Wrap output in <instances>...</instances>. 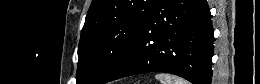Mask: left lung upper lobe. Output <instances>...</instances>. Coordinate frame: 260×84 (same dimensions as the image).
Listing matches in <instances>:
<instances>
[{"mask_svg": "<svg viewBox=\"0 0 260 84\" xmlns=\"http://www.w3.org/2000/svg\"><path fill=\"white\" fill-rule=\"evenodd\" d=\"M156 0H93L81 31L77 84H103L119 65Z\"/></svg>", "mask_w": 260, "mask_h": 84, "instance_id": "5c2ea615", "label": "left lung upper lobe"}]
</instances>
